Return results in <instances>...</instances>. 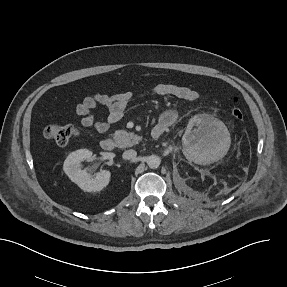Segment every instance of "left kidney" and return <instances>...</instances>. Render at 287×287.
<instances>
[{
    "instance_id": "1",
    "label": "left kidney",
    "mask_w": 287,
    "mask_h": 287,
    "mask_svg": "<svg viewBox=\"0 0 287 287\" xmlns=\"http://www.w3.org/2000/svg\"><path fill=\"white\" fill-rule=\"evenodd\" d=\"M199 124L196 119H191L187 125L185 134L183 135V143L186 146H192L196 151L208 152L213 155V161L218 160L228 150V142H230L229 133L226 128L219 127L211 129L207 127L204 134L193 131L192 128Z\"/></svg>"
}]
</instances>
